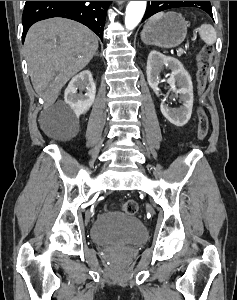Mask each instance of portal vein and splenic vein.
<instances>
[{
  "mask_svg": "<svg viewBox=\"0 0 237 300\" xmlns=\"http://www.w3.org/2000/svg\"><path fill=\"white\" fill-rule=\"evenodd\" d=\"M179 51H180V53H179V55L182 57L183 55H184V50L182 49V46H179Z\"/></svg>",
  "mask_w": 237,
  "mask_h": 300,
  "instance_id": "portal-vein-and-splenic-vein-1",
  "label": "portal vein and splenic vein"
}]
</instances>
